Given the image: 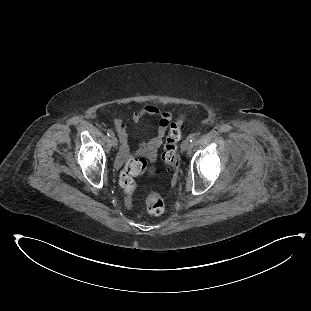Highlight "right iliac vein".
Segmentation results:
<instances>
[{
  "mask_svg": "<svg viewBox=\"0 0 311 311\" xmlns=\"http://www.w3.org/2000/svg\"><path fill=\"white\" fill-rule=\"evenodd\" d=\"M110 142L113 147H116L118 145V140L115 136L111 137Z\"/></svg>",
  "mask_w": 311,
  "mask_h": 311,
  "instance_id": "1",
  "label": "right iliac vein"
}]
</instances>
